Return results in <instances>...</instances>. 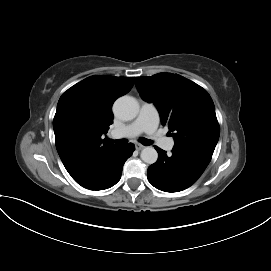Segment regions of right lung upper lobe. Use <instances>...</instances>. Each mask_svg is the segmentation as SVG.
<instances>
[{
	"label": "right lung upper lobe",
	"mask_w": 271,
	"mask_h": 271,
	"mask_svg": "<svg viewBox=\"0 0 271 271\" xmlns=\"http://www.w3.org/2000/svg\"><path fill=\"white\" fill-rule=\"evenodd\" d=\"M135 77L91 76L62 94L53 120L58 154L74 180L116 147L102 135L113 123L112 105Z\"/></svg>",
	"instance_id": "1"
}]
</instances>
